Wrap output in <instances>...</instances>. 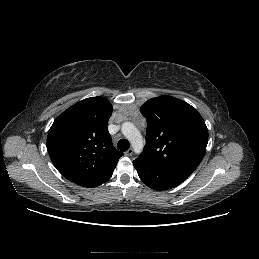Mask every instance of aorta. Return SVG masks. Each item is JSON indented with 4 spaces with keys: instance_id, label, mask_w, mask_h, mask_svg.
I'll return each mask as SVG.
<instances>
[{
    "instance_id": "762f6f07",
    "label": "aorta",
    "mask_w": 259,
    "mask_h": 259,
    "mask_svg": "<svg viewBox=\"0 0 259 259\" xmlns=\"http://www.w3.org/2000/svg\"><path fill=\"white\" fill-rule=\"evenodd\" d=\"M123 135L131 143L136 153L142 152L143 149V138L139 130L131 122H124L121 127Z\"/></svg>"
}]
</instances>
